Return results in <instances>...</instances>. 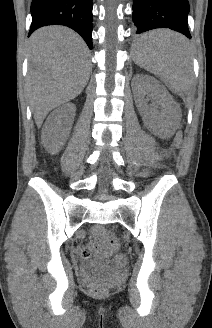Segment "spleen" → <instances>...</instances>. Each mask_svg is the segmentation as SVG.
<instances>
[{
	"label": "spleen",
	"mask_w": 212,
	"mask_h": 328,
	"mask_svg": "<svg viewBox=\"0 0 212 328\" xmlns=\"http://www.w3.org/2000/svg\"><path fill=\"white\" fill-rule=\"evenodd\" d=\"M143 40L152 46H138L135 63L158 76L174 93L185 94L193 85V71L188 44L182 35L159 30L146 33Z\"/></svg>",
	"instance_id": "obj_1"
}]
</instances>
